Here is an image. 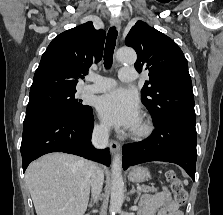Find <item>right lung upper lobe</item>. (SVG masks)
Returning <instances> with one entry per match:
<instances>
[{"label":"right lung upper lobe","mask_w":223,"mask_h":215,"mask_svg":"<svg viewBox=\"0 0 223 215\" xmlns=\"http://www.w3.org/2000/svg\"><path fill=\"white\" fill-rule=\"evenodd\" d=\"M104 41L105 31L96 30L92 22L59 34L42 55L30 92L76 90L78 80L101 60Z\"/></svg>","instance_id":"1"}]
</instances>
